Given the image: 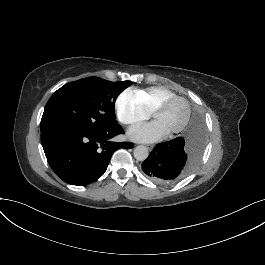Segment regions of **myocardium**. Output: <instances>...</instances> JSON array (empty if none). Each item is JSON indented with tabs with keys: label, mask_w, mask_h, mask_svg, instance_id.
I'll use <instances>...</instances> for the list:
<instances>
[{
	"label": "myocardium",
	"mask_w": 265,
	"mask_h": 265,
	"mask_svg": "<svg viewBox=\"0 0 265 265\" xmlns=\"http://www.w3.org/2000/svg\"><path fill=\"white\" fill-rule=\"evenodd\" d=\"M172 101H179L182 103V105L184 107V114H183L182 120L176 126H174L172 129H170L168 131V133H170V134L171 133H178L186 127V125L189 121V118H190V113H191V108H190L188 101L183 97L176 96V95H170V96L165 97V98L161 99L160 101H158L151 111V116H152V118H154L156 113L160 109H162L163 107H165L166 105H168Z\"/></svg>",
	"instance_id": "f54148a6"
}]
</instances>
